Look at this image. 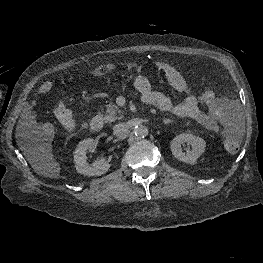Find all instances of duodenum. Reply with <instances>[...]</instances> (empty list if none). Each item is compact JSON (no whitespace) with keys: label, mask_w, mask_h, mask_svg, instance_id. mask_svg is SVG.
<instances>
[{"label":"duodenum","mask_w":263,"mask_h":263,"mask_svg":"<svg viewBox=\"0 0 263 263\" xmlns=\"http://www.w3.org/2000/svg\"><path fill=\"white\" fill-rule=\"evenodd\" d=\"M104 127V119L101 115H95L90 122V128L94 132H99Z\"/></svg>","instance_id":"1"}]
</instances>
